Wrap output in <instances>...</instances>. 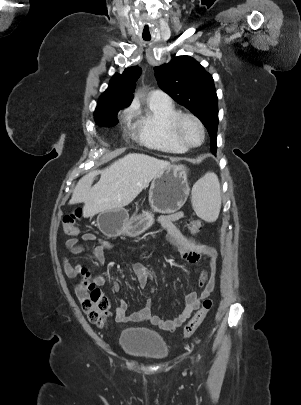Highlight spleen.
<instances>
[{
    "mask_svg": "<svg viewBox=\"0 0 301 405\" xmlns=\"http://www.w3.org/2000/svg\"><path fill=\"white\" fill-rule=\"evenodd\" d=\"M192 202L196 214L208 222L215 221L221 208V191L217 176L206 174L192 189Z\"/></svg>",
    "mask_w": 301,
    "mask_h": 405,
    "instance_id": "3e777b00",
    "label": "spleen"
}]
</instances>
